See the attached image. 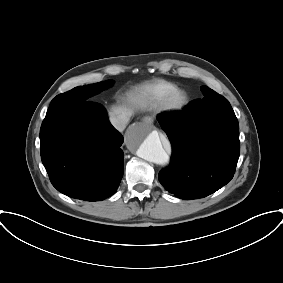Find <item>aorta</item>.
<instances>
[{
	"label": "aorta",
	"instance_id": "1",
	"mask_svg": "<svg viewBox=\"0 0 283 283\" xmlns=\"http://www.w3.org/2000/svg\"><path fill=\"white\" fill-rule=\"evenodd\" d=\"M126 144L149 162L162 166L169 163V155L163 148L160 135L151 125L138 123L132 126L127 133Z\"/></svg>",
	"mask_w": 283,
	"mask_h": 283
}]
</instances>
